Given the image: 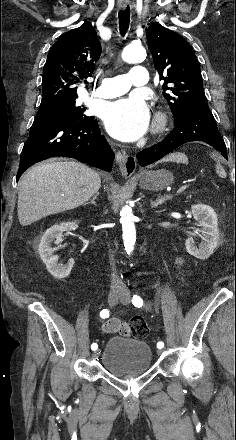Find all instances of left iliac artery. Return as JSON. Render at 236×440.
<instances>
[{
    "instance_id": "left-iliac-artery-1",
    "label": "left iliac artery",
    "mask_w": 236,
    "mask_h": 440,
    "mask_svg": "<svg viewBox=\"0 0 236 440\" xmlns=\"http://www.w3.org/2000/svg\"><path fill=\"white\" fill-rule=\"evenodd\" d=\"M132 303H133V305L135 306V307H142L143 306V300H142V298L140 297V296H138V295H134L133 296V298H132ZM164 347V343L163 342H158L157 343V348L158 349H161V348H163Z\"/></svg>"
}]
</instances>
